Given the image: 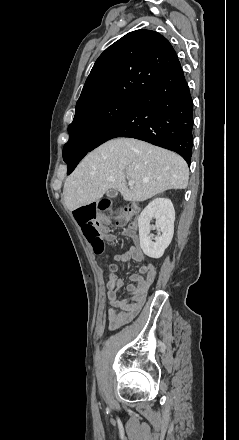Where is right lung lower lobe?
I'll return each instance as SVG.
<instances>
[{
  "label": "right lung lower lobe",
  "instance_id": "right-lung-lower-lobe-1",
  "mask_svg": "<svg viewBox=\"0 0 239 440\" xmlns=\"http://www.w3.org/2000/svg\"><path fill=\"white\" fill-rule=\"evenodd\" d=\"M193 101L180 62L161 80L138 96L124 114L86 151L68 149L63 157L68 174L91 150L116 137H131L172 150L191 163Z\"/></svg>",
  "mask_w": 239,
  "mask_h": 440
}]
</instances>
